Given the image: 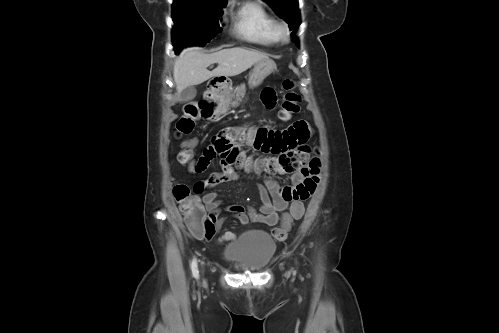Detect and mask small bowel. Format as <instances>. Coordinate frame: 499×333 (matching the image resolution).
<instances>
[{
	"instance_id": "small-bowel-1",
	"label": "small bowel",
	"mask_w": 499,
	"mask_h": 333,
	"mask_svg": "<svg viewBox=\"0 0 499 333\" xmlns=\"http://www.w3.org/2000/svg\"><path fill=\"white\" fill-rule=\"evenodd\" d=\"M264 105L271 109L276 104V95L272 88L262 92ZM312 134L309 123L297 120L284 129L267 127L239 128L229 127L215 135L196 163L195 173H203L216 157L220 160L221 173H212L204 180L196 183L193 190L196 194L205 192L202 201L210 218L215 223V230L220 233L226 218H217L219 207L218 195L213 189L224 182L237 181L241 178L238 167L249 165L241 146H251L270 158L261 163L265 172L288 174L290 183L280 185L269 175L265 176V185H259V208L233 205L232 216L241 224L250 221L275 226L280 221V213L284 212L293 201H304L310 198L319 183L321 161L317 152L308 144ZM236 235L230 231L217 238L218 242L233 241Z\"/></svg>"
}]
</instances>
